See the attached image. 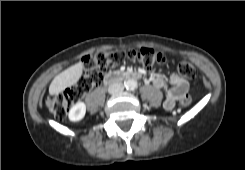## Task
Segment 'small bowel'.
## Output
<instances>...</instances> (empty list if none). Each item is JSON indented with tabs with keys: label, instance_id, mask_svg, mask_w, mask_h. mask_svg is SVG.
I'll return each instance as SVG.
<instances>
[{
	"label": "small bowel",
	"instance_id": "1",
	"mask_svg": "<svg viewBox=\"0 0 245 170\" xmlns=\"http://www.w3.org/2000/svg\"><path fill=\"white\" fill-rule=\"evenodd\" d=\"M149 82L156 88H164L170 84V88L165 92L164 108L168 111L172 110L176 102L182 100L188 93L189 83L186 79L176 73H172L168 80L162 77L150 78Z\"/></svg>",
	"mask_w": 245,
	"mask_h": 170
}]
</instances>
